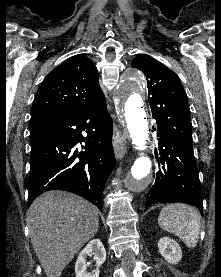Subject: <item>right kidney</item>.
<instances>
[{
  "label": "right kidney",
  "mask_w": 221,
  "mask_h": 277,
  "mask_svg": "<svg viewBox=\"0 0 221 277\" xmlns=\"http://www.w3.org/2000/svg\"><path fill=\"white\" fill-rule=\"evenodd\" d=\"M94 255L96 261V269L87 272L86 257ZM106 260V250L100 239L91 240L78 255L75 264L76 277H99V268Z\"/></svg>",
  "instance_id": "1"
}]
</instances>
